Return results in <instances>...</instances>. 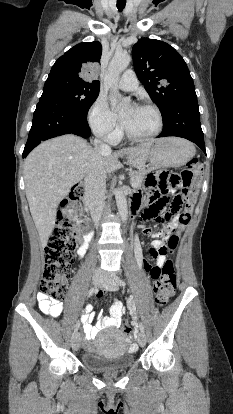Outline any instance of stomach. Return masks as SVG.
Segmentation results:
<instances>
[{
  "instance_id": "stomach-1",
  "label": "stomach",
  "mask_w": 233,
  "mask_h": 414,
  "mask_svg": "<svg viewBox=\"0 0 233 414\" xmlns=\"http://www.w3.org/2000/svg\"><path fill=\"white\" fill-rule=\"evenodd\" d=\"M195 155L194 146L179 138H162L154 141L148 160L154 168L179 167Z\"/></svg>"
}]
</instances>
